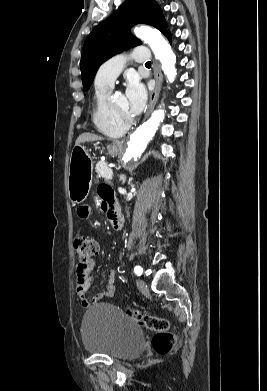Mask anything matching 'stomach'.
I'll return each instance as SVG.
<instances>
[{
    "instance_id": "0dacf381",
    "label": "stomach",
    "mask_w": 267,
    "mask_h": 391,
    "mask_svg": "<svg viewBox=\"0 0 267 391\" xmlns=\"http://www.w3.org/2000/svg\"><path fill=\"white\" fill-rule=\"evenodd\" d=\"M110 154L121 150L119 142L108 146ZM93 159L84 146L75 145L70 156L68 172V195L72 203H82L88 196L92 184Z\"/></svg>"
}]
</instances>
